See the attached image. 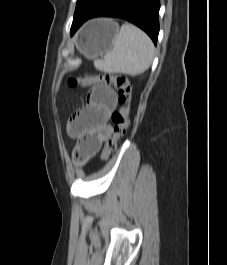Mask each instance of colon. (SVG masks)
<instances>
[{
	"mask_svg": "<svg viewBox=\"0 0 227 265\" xmlns=\"http://www.w3.org/2000/svg\"><path fill=\"white\" fill-rule=\"evenodd\" d=\"M68 85L71 88L111 85L116 89L120 108L112 114V135L105 141L101 153V159L108 160L129 125L131 87L128 78L116 74L77 75L69 78ZM73 157L77 162L85 160L84 155L77 148L74 150Z\"/></svg>",
	"mask_w": 227,
	"mask_h": 265,
	"instance_id": "colon-1",
	"label": "colon"
}]
</instances>
